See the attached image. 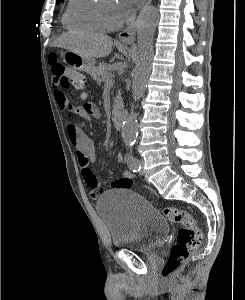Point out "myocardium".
Masks as SVG:
<instances>
[{
	"instance_id": "myocardium-1",
	"label": "myocardium",
	"mask_w": 245,
	"mask_h": 300,
	"mask_svg": "<svg viewBox=\"0 0 245 300\" xmlns=\"http://www.w3.org/2000/svg\"><path fill=\"white\" fill-rule=\"evenodd\" d=\"M98 16L102 27L107 30L117 29L121 27L125 21V19H121L119 21L110 20L105 12L103 2L98 5Z\"/></svg>"
}]
</instances>
